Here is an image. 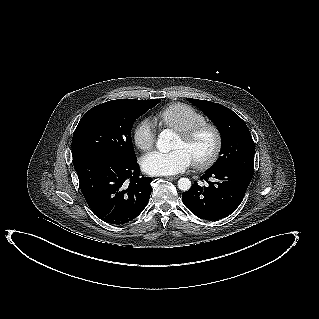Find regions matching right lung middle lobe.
I'll use <instances>...</instances> for the list:
<instances>
[{
	"label": "right lung middle lobe",
	"instance_id": "dd1d6c3e",
	"mask_svg": "<svg viewBox=\"0 0 319 319\" xmlns=\"http://www.w3.org/2000/svg\"><path fill=\"white\" fill-rule=\"evenodd\" d=\"M160 101L119 99L91 108L73 134V163L96 153L113 154L124 161L135 158L131 140L133 123Z\"/></svg>",
	"mask_w": 319,
	"mask_h": 319
}]
</instances>
